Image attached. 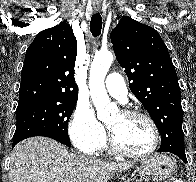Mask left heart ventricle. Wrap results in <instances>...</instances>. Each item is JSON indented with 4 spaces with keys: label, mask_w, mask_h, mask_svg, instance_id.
I'll list each match as a JSON object with an SVG mask.
<instances>
[{
    "label": "left heart ventricle",
    "mask_w": 196,
    "mask_h": 182,
    "mask_svg": "<svg viewBox=\"0 0 196 182\" xmlns=\"http://www.w3.org/2000/svg\"><path fill=\"white\" fill-rule=\"evenodd\" d=\"M107 125L117 142L130 152L142 153L152 145V130L142 118L129 117L119 112L109 119Z\"/></svg>",
    "instance_id": "1"
}]
</instances>
